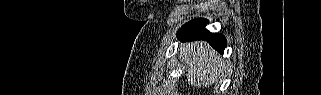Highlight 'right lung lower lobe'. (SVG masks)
<instances>
[{
	"instance_id": "1",
	"label": "right lung lower lobe",
	"mask_w": 321,
	"mask_h": 95,
	"mask_svg": "<svg viewBox=\"0 0 321 95\" xmlns=\"http://www.w3.org/2000/svg\"><path fill=\"white\" fill-rule=\"evenodd\" d=\"M206 24V19H194L182 26L178 31V38L183 41L202 39L209 42L218 52L223 53L227 44L226 38L221 34L210 33L205 29Z\"/></svg>"
}]
</instances>
